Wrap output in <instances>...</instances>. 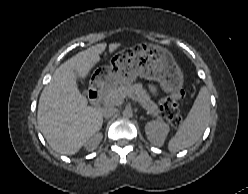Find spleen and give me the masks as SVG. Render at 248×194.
Listing matches in <instances>:
<instances>
[{
    "instance_id": "obj_1",
    "label": "spleen",
    "mask_w": 248,
    "mask_h": 194,
    "mask_svg": "<svg viewBox=\"0 0 248 194\" xmlns=\"http://www.w3.org/2000/svg\"><path fill=\"white\" fill-rule=\"evenodd\" d=\"M210 120V95L201 87L199 94L186 119L181 123L175 136L168 143L170 152H178L194 145L202 136Z\"/></svg>"
}]
</instances>
